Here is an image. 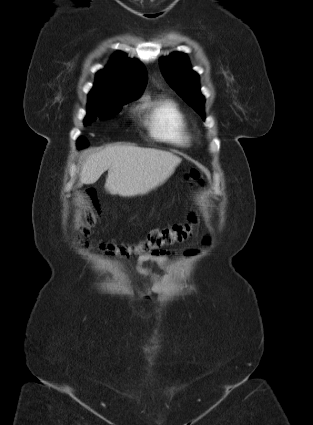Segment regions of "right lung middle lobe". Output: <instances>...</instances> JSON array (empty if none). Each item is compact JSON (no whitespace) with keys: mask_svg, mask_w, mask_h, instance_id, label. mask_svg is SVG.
<instances>
[{"mask_svg":"<svg viewBox=\"0 0 313 425\" xmlns=\"http://www.w3.org/2000/svg\"><path fill=\"white\" fill-rule=\"evenodd\" d=\"M132 101V99L124 96H111L103 98L97 101L88 102L87 116L84 120V124L94 121L96 118H108L117 114L122 109V105ZM88 143L80 138L77 142V147H87Z\"/></svg>","mask_w":313,"mask_h":425,"instance_id":"dd1d6c3e","label":"right lung middle lobe"}]
</instances>
